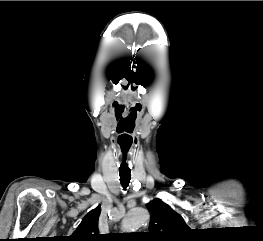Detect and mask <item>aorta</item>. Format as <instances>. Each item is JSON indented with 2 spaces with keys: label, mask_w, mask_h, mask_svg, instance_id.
<instances>
[{
  "label": "aorta",
  "mask_w": 263,
  "mask_h": 241,
  "mask_svg": "<svg viewBox=\"0 0 263 241\" xmlns=\"http://www.w3.org/2000/svg\"><path fill=\"white\" fill-rule=\"evenodd\" d=\"M149 219V213L141 207L132 208L123 220L126 230H135L144 225Z\"/></svg>",
  "instance_id": "762f6f07"
}]
</instances>
